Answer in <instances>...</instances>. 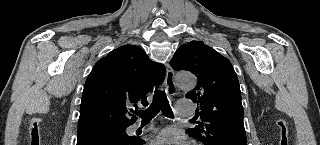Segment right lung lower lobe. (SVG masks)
I'll list each match as a JSON object with an SVG mask.
<instances>
[{"label": "right lung lower lobe", "instance_id": "98d812e1", "mask_svg": "<svg viewBox=\"0 0 320 145\" xmlns=\"http://www.w3.org/2000/svg\"><path fill=\"white\" fill-rule=\"evenodd\" d=\"M144 143L138 137L115 135L102 129L89 130L78 133L77 145H142Z\"/></svg>", "mask_w": 320, "mask_h": 145}]
</instances>
